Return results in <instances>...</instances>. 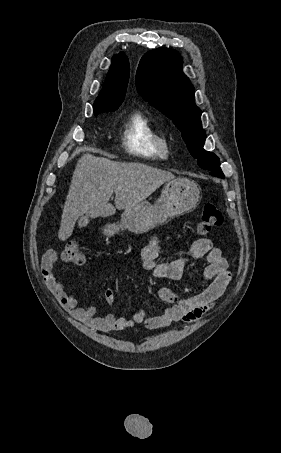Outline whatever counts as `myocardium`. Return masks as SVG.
I'll return each instance as SVG.
<instances>
[{"mask_svg": "<svg viewBox=\"0 0 281 453\" xmlns=\"http://www.w3.org/2000/svg\"><path fill=\"white\" fill-rule=\"evenodd\" d=\"M167 151H168V146L165 148V151H164V152L166 153Z\"/></svg>", "mask_w": 281, "mask_h": 453, "instance_id": "obj_1", "label": "myocardium"}]
</instances>
